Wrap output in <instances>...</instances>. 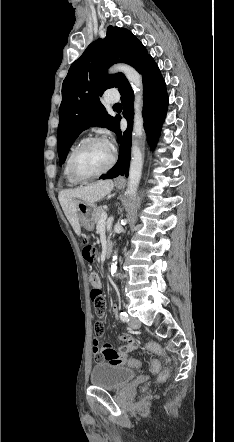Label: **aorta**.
I'll return each instance as SVG.
<instances>
[{
    "mask_svg": "<svg viewBox=\"0 0 234 442\" xmlns=\"http://www.w3.org/2000/svg\"><path fill=\"white\" fill-rule=\"evenodd\" d=\"M121 71L124 73L129 83L132 85L135 98H134V124L132 132V147H131V161L128 175V188L127 193L133 197L137 191L138 185L141 180V174L144 163L143 150L141 148V139L144 134L143 128V82L142 76L131 66L127 64H117L111 69V73ZM116 253V252H115ZM117 255L113 256V263L111 266L112 274L116 273L117 269Z\"/></svg>",
    "mask_w": 234,
    "mask_h": 442,
    "instance_id": "obj_1",
    "label": "aorta"
}]
</instances>
